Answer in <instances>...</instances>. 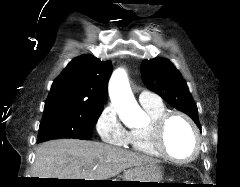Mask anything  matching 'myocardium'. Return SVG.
Instances as JSON below:
<instances>
[{
    "mask_svg": "<svg viewBox=\"0 0 240 187\" xmlns=\"http://www.w3.org/2000/svg\"><path fill=\"white\" fill-rule=\"evenodd\" d=\"M173 117H180L185 122L189 125L191 128L193 135H194V140H195V146H194V152L193 154L186 159H179L174 156H172L168 150L165 147V130L168 122L170 121L171 118ZM151 132V139H152V144L155 148V150L158 152V154L173 162L176 164H188L193 161H195L200 153H201V136L199 129L195 122L185 113L180 112V111H166L163 113L160 117H158L156 120H154L151 124L150 128Z\"/></svg>",
    "mask_w": 240,
    "mask_h": 187,
    "instance_id": "1",
    "label": "myocardium"
}]
</instances>
